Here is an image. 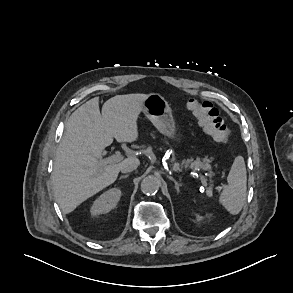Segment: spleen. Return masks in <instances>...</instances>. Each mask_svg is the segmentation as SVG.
<instances>
[{
  "label": "spleen",
  "mask_w": 293,
  "mask_h": 293,
  "mask_svg": "<svg viewBox=\"0 0 293 293\" xmlns=\"http://www.w3.org/2000/svg\"><path fill=\"white\" fill-rule=\"evenodd\" d=\"M227 185L219 196V203L232 215H237L246 200L247 172L244 158L237 156L227 177Z\"/></svg>",
  "instance_id": "1"
}]
</instances>
